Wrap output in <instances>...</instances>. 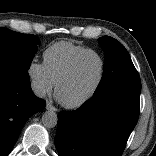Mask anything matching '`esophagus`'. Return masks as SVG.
Instances as JSON below:
<instances>
[{
  "label": "esophagus",
  "mask_w": 156,
  "mask_h": 156,
  "mask_svg": "<svg viewBox=\"0 0 156 156\" xmlns=\"http://www.w3.org/2000/svg\"><path fill=\"white\" fill-rule=\"evenodd\" d=\"M46 109L47 110H50V111H57V108L56 107H54L52 104H50V103H47L46 104Z\"/></svg>",
  "instance_id": "1"
}]
</instances>
